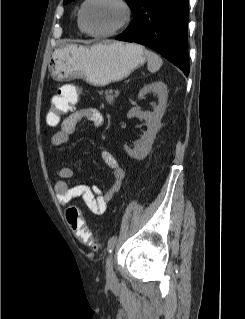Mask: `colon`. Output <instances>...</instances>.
<instances>
[{
  "label": "colon",
  "mask_w": 245,
  "mask_h": 319,
  "mask_svg": "<svg viewBox=\"0 0 245 319\" xmlns=\"http://www.w3.org/2000/svg\"><path fill=\"white\" fill-rule=\"evenodd\" d=\"M76 100V90L72 93L58 91L52 100V108L47 114L49 123L58 124L61 118L72 109ZM66 219L72 232L82 243L93 250L98 248L97 241L87 228L81 210L78 207L69 206L66 210Z\"/></svg>",
  "instance_id": "colon-1"
}]
</instances>
